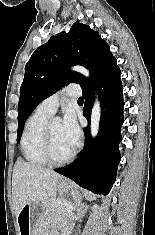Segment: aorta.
<instances>
[{"mask_svg":"<svg viewBox=\"0 0 155 235\" xmlns=\"http://www.w3.org/2000/svg\"><path fill=\"white\" fill-rule=\"evenodd\" d=\"M71 70L73 71H77L81 74H83L84 76H89V70H87L86 68L82 67V66H74L71 68ZM100 116H101V107H100V102L98 100L97 94H96V98H95V102L93 104V108H92V112H91V136L94 138L96 137V135L98 134L99 131V123H100Z\"/></svg>","mask_w":155,"mask_h":235,"instance_id":"obj_1","label":"aorta"}]
</instances>
